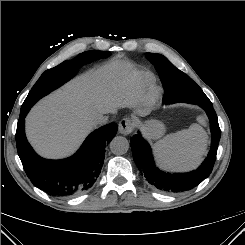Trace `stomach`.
<instances>
[{"instance_id":"stomach-1","label":"stomach","mask_w":245,"mask_h":245,"mask_svg":"<svg viewBox=\"0 0 245 245\" xmlns=\"http://www.w3.org/2000/svg\"><path fill=\"white\" fill-rule=\"evenodd\" d=\"M146 136L149 139L156 140L162 137L165 133V126L161 121L149 120L143 125Z\"/></svg>"}]
</instances>
